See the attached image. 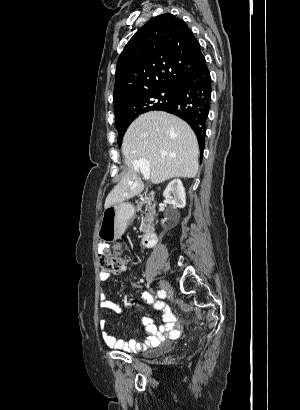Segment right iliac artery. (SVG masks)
Listing matches in <instances>:
<instances>
[{
	"label": "right iliac artery",
	"mask_w": 300,
	"mask_h": 410,
	"mask_svg": "<svg viewBox=\"0 0 300 410\" xmlns=\"http://www.w3.org/2000/svg\"><path fill=\"white\" fill-rule=\"evenodd\" d=\"M157 294H158V297H159V298H165V292H164V291L159 290V291L157 292Z\"/></svg>",
	"instance_id": "82829eb1"
}]
</instances>
